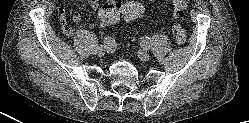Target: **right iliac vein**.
<instances>
[{"label": "right iliac vein", "mask_w": 249, "mask_h": 123, "mask_svg": "<svg viewBox=\"0 0 249 123\" xmlns=\"http://www.w3.org/2000/svg\"><path fill=\"white\" fill-rule=\"evenodd\" d=\"M107 50H108V46H106V45L99 46L97 49L98 56H103Z\"/></svg>", "instance_id": "63e3f726"}]
</instances>
